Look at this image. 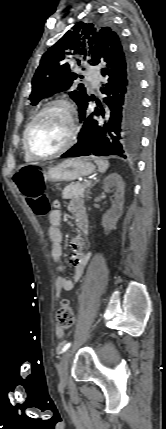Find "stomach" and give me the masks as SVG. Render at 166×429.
I'll list each match as a JSON object with an SVG mask.
<instances>
[{"label":"stomach","mask_w":166,"mask_h":429,"mask_svg":"<svg viewBox=\"0 0 166 429\" xmlns=\"http://www.w3.org/2000/svg\"><path fill=\"white\" fill-rule=\"evenodd\" d=\"M95 171V166L86 159H67L45 172V180L49 182L74 181L88 176Z\"/></svg>","instance_id":"0dacf381"}]
</instances>
